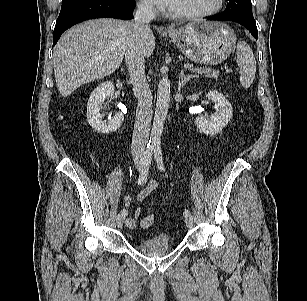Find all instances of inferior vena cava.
Here are the masks:
<instances>
[{
  "mask_svg": "<svg viewBox=\"0 0 307 301\" xmlns=\"http://www.w3.org/2000/svg\"><path fill=\"white\" fill-rule=\"evenodd\" d=\"M134 37L125 49V63L130 74L134 95L138 98L136 121L132 137V155H143L149 138L152 118V93L145 76L144 38L148 23L155 18L151 3H141L134 13Z\"/></svg>",
  "mask_w": 307,
  "mask_h": 301,
  "instance_id": "inferior-vena-cava-1",
  "label": "inferior vena cava"
}]
</instances>
